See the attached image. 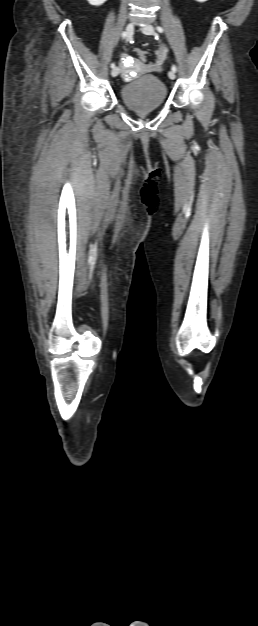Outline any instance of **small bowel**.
Segmentation results:
<instances>
[{"label":"small bowel","mask_w":258,"mask_h":626,"mask_svg":"<svg viewBox=\"0 0 258 626\" xmlns=\"http://www.w3.org/2000/svg\"><path fill=\"white\" fill-rule=\"evenodd\" d=\"M165 57H166V48L164 46H161L157 53L156 62L152 65L146 66V68L152 71H159L160 64L165 59ZM123 64L126 70H131L132 67H139L141 65L140 62L134 60L131 57H125L123 60Z\"/></svg>","instance_id":"small-bowel-1"}]
</instances>
